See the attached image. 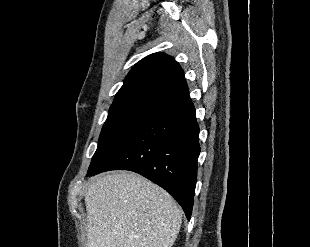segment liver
<instances>
[{
    "mask_svg": "<svg viewBox=\"0 0 310 247\" xmlns=\"http://www.w3.org/2000/svg\"><path fill=\"white\" fill-rule=\"evenodd\" d=\"M85 204L87 247H172L182 223L170 194L133 172L94 177Z\"/></svg>",
    "mask_w": 310,
    "mask_h": 247,
    "instance_id": "1",
    "label": "liver"
}]
</instances>
